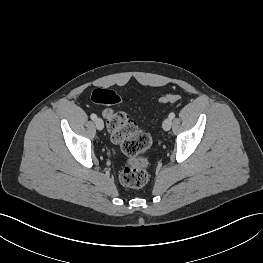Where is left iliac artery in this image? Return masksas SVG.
<instances>
[{
  "label": "left iliac artery",
  "instance_id": "1",
  "mask_svg": "<svg viewBox=\"0 0 263 263\" xmlns=\"http://www.w3.org/2000/svg\"><path fill=\"white\" fill-rule=\"evenodd\" d=\"M174 117H175V113H174V112H171V113L169 114V118L173 119Z\"/></svg>",
  "mask_w": 263,
  "mask_h": 263
}]
</instances>
